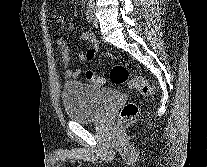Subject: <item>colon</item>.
<instances>
[{
  "label": "colon",
  "mask_w": 207,
  "mask_h": 167,
  "mask_svg": "<svg viewBox=\"0 0 207 167\" xmlns=\"http://www.w3.org/2000/svg\"><path fill=\"white\" fill-rule=\"evenodd\" d=\"M87 80L93 84L101 85L104 83V78L92 71H87L85 74ZM111 81L117 85L128 84L129 88L137 91L143 96L150 97L154 94V88L143 77H130L129 70L126 66L117 64L111 68ZM140 112L139 106L135 102L126 103L119 113L120 120H127L138 115Z\"/></svg>",
  "instance_id": "colon-1"
}]
</instances>
